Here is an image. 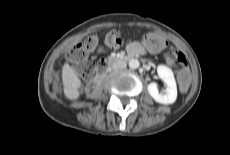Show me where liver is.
<instances>
[{
    "instance_id": "liver-1",
    "label": "liver",
    "mask_w": 230,
    "mask_h": 155,
    "mask_svg": "<svg viewBox=\"0 0 230 155\" xmlns=\"http://www.w3.org/2000/svg\"><path fill=\"white\" fill-rule=\"evenodd\" d=\"M62 83L64 94L68 99L75 100L80 96L81 81L68 63H64L62 67Z\"/></svg>"
}]
</instances>
